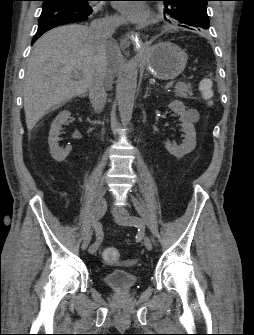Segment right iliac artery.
Masks as SVG:
<instances>
[{"label":"right iliac artery","mask_w":254,"mask_h":335,"mask_svg":"<svg viewBox=\"0 0 254 335\" xmlns=\"http://www.w3.org/2000/svg\"><path fill=\"white\" fill-rule=\"evenodd\" d=\"M94 229H95V234H96V240L95 242L89 247V252L91 254H95L97 250L99 249V246L103 240V228L100 223H93Z\"/></svg>","instance_id":"right-iliac-artery-1"}]
</instances>
